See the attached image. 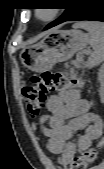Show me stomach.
<instances>
[{
	"label": "stomach",
	"instance_id": "1",
	"mask_svg": "<svg viewBox=\"0 0 104 169\" xmlns=\"http://www.w3.org/2000/svg\"><path fill=\"white\" fill-rule=\"evenodd\" d=\"M88 43L89 35L80 30H54L38 43L23 49L20 56L28 69L42 72L71 58Z\"/></svg>",
	"mask_w": 104,
	"mask_h": 169
}]
</instances>
